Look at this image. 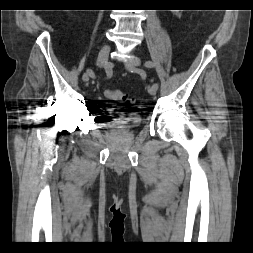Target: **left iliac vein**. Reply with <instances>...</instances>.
<instances>
[{
  "label": "left iliac vein",
  "mask_w": 253,
  "mask_h": 253,
  "mask_svg": "<svg viewBox=\"0 0 253 253\" xmlns=\"http://www.w3.org/2000/svg\"><path fill=\"white\" fill-rule=\"evenodd\" d=\"M141 62L139 59L137 58H130L126 64L125 67L128 70H133V71H139V66H140ZM148 92L150 95H155L157 92V88L154 85H149L148 86Z\"/></svg>",
  "instance_id": "obj_1"
}]
</instances>
